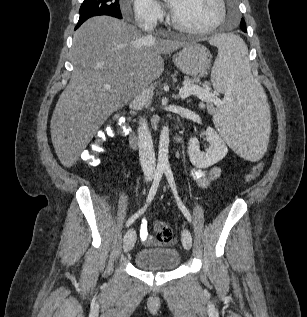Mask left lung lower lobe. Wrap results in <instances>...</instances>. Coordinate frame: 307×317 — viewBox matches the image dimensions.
<instances>
[{"instance_id":"obj_1","label":"left lung lower lobe","mask_w":307,"mask_h":317,"mask_svg":"<svg viewBox=\"0 0 307 317\" xmlns=\"http://www.w3.org/2000/svg\"><path fill=\"white\" fill-rule=\"evenodd\" d=\"M240 28H241L242 31L246 32V26H245V22H244L243 19L241 20Z\"/></svg>"}]
</instances>
